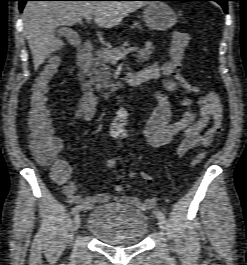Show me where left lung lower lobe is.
I'll return each instance as SVG.
<instances>
[{"instance_id":"obj_1","label":"left lung lower lobe","mask_w":247,"mask_h":265,"mask_svg":"<svg viewBox=\"0 0 247 265\" xmlns=\"http://www.w3.org/2000/svg\"><path fill=\"white\" fill-rule=\"evenodd\" d=\"M148 1H152V0H148ZM159 1H215L219 3L223 7L225 13H227V2L230 0H159Z\"/></svg>"}]
</instances>
